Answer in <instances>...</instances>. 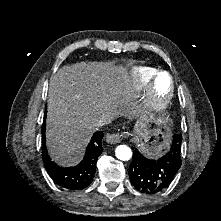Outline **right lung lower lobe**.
<instances>
[{"instance_id": "1", "label": "right lung lower lobe", "mask_w": 221, "mask_h": 221, "mask_svg": "<svg viewBox=\"0 0 221 221\" xmlns=\"http://www.w3.org/2000/svg\"><path fill=\"white\" fill-rule=\"evenodd\" d=\"M46 116H44L45 118ZM103 132H96L87 146L84 159L75 167L63 168L51 161L45 146V124L42 128V158L45 167L53 181L61 187L70 190L86 188L94 178L96 163L103 148L101 140Z\"/></svg>"}]
</instances>
